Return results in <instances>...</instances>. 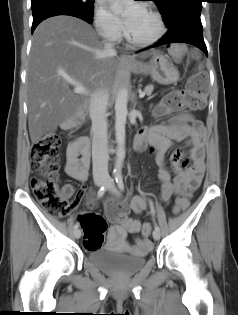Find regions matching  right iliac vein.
Returning <instances> with one entry per match:
<instances>
[{"label": "right iliac vein", "instance_id": "right-iliac-vein-1", "mask_svg": "<svg viewBox=\"0 0 238 315\" xmlns=\"http://www.w3.org/2000/svg\"><path fill=\"white\" fill-rule=\"evenodd\" d=\"M103 183H104V180H103V179H97V180L95 181V184H96L97 186H101V185H103ZM74 237H75L76 239H79V238L81 237V230H80V229H75V231H74Z\"/></svg>", "mask_w": 238, "mask_h": 315}]
</instances>
